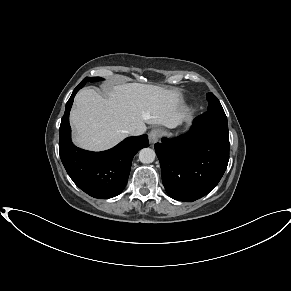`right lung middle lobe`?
Instances as JSON below:
<instances>
[{"instance_id": "obj_1", "label": "right lung middle lobe", "mask_w": 291, "mask_h": 291, "mask_svg": "<svg viewBox=\"0 0 291 291\" xmlns=\"http://www.w3.org/2000/svg\"><path fill=\"white\" fill-rule=\"evenodd\" d=\"M101 80L100 77H91V78H85L81 83H82V86H84V84L87 82V81H99Z\"/></svg>"}]
</instances>
